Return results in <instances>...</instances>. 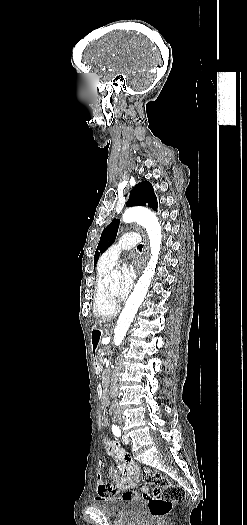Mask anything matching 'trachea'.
Returning a JSON list of instances; mask_svg holds the SVG:
<instances>
[{
  "label": "trachea",
  "instance_id": "obj_1",
  "mask_svg": "<svg viewBox=\"0 0 247 525\" xmlns=\"http://www.w3.org/2000/svg\"><path fill=\"white\" fill-rule=\"evenodd\" d=\"M142 248H143V245H142V244H140V245L137 246V249H139V250H142Z\"/></svg>",
  "mask_w": 247,
  "mask_h": 525
}]
</instances>
